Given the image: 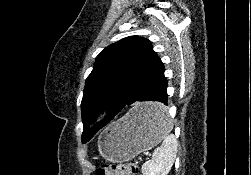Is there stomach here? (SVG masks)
<instances>
[{
	"label": "stomach",
	"mask_w": 251,
	"mask_h": 175,
	"mask_svg": "<svg viewBox=\"0 0 251 175\" xmlns=\"http://www.w3.org/2000/svg\"><path fill=\"white\" fill-rule=\"evenodd\" d=\"M156 100H139L126 115L109 123L98 137V149L107 161H130L141 151L151 149L164 134H172L167 114L153 111H169V106H154Z\"/></svg>",
	"instance_id": "0dacf381"
}]
</instances>
